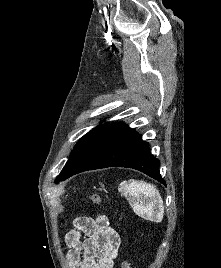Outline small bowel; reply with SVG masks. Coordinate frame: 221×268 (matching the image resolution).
Wrapping results in <instances>:
<instances>
[{
	"instance_id": "obj_1",
	"label": "small bowel",
	"mask_w": 221,
	"mask_h": 268,
	"mask_svg": "<svg viewBox=\"0 0 221 268\" xmlns=\"http://www.w3.org/2000/svg\"><path fill=\"white\" fill-rule=\"evenodd\" d=\"M65 236L70 268H113L121 244L118 232L105 214L77 217Z\"/></svg>"
}]
</instances>
